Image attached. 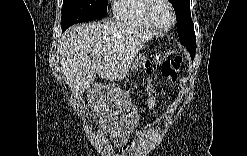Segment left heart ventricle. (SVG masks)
<instances>
[{"label": "left heart ventricle", "instance_id": "obj_1", "mask_svg": "<svg viewBox=\"0 0 247 156\" xmlns=\"http://www.w3.org/2000/svg\"><path fill=\"white\" fill-rule=\"evenodd\" d=\"M152 14L154 20L161 26H167L171 23V13L165 3H157Z\"/></svg>", "mask_w": 247, "mask_h": 156}]
</instances>
